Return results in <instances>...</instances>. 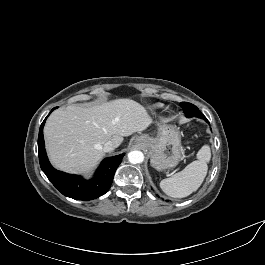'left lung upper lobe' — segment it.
<instances>
[{"instance_id":"left-lung-upper-lobe-1","label":"left lung upper lobe","mask_w":265,"mask_h":265,"mask_svg":"<svg viewBox=\"0 0 265 265\" xmlns=\"http://www.w3.org/2000/svg\"><path fill=\"white\" fill-rule=\"evenodd\" d=\"M180 106L183 108L185 114L189 117L199 116L202 114L199 109L191 103L181 102Z\"/></svg>"}]
</instances>
